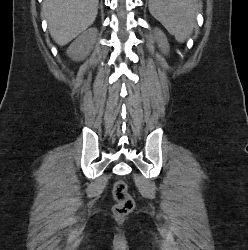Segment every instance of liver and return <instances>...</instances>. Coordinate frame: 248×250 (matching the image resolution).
Here are the masks:
<instances>
[{
  "label": "liver",
  "instance_id": "obj_1",
  "mask_svg": "<svg viewBox=\"0 0 248 250\" xmlns=\"http://www.w3.org/2000/svg\"><path fill=\"white\" fill-rule=\"evenodd\" d=\"M42 10L51 37L64 46L93 24L98 0H44Z\"/></svg>",
  "mask_w": 248,
  "mask_h": 250
}]
</instances>
